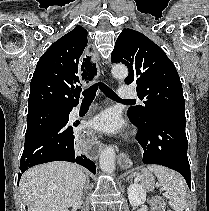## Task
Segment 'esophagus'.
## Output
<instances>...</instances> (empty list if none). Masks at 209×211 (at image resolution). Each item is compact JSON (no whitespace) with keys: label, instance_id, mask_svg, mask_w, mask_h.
Instances as JSON below:
<instances>
[{"label":"esophagus","instance_id":"1","mask_svg":"<svg viewBox=\"0 0 209 211\" xmlns=\"http://www.w3.org/2000/svg\"><path fill=\"white\" fill-rule=\"evenodd\" d=\"M96 61H98L97 52H86V56H82L81 64L78 65L81 82H94L97 75ZM91 138L92 133H77L75 145H77V149H85L88 159H95L97 152L104 149V144H94V140H91ZM118 159L119 164L123 167L128 164L125 154H118Z\"/></svg>","mask_w":209,"mask_h":211}]
</instances>
